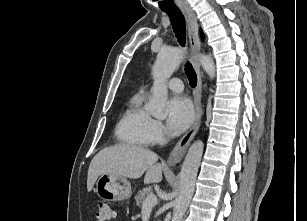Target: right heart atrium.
I'll return each instance as SVG.
<instances>
[{"mask_svg":"<svg viewBox=\"0 0 307 221\" xmlns=\"http://www.w3.org/2000/svg\"><path fill=\"white\" fill-rule=\"evenodd\" d=\"M153 142H161L165 138V129L162 123L158 120H153L151 127Z\"/></svg>","mask_w":307,"mask_h":221,"instance_id":"obj_1","label":"right heart atrium"}]
</instances>
